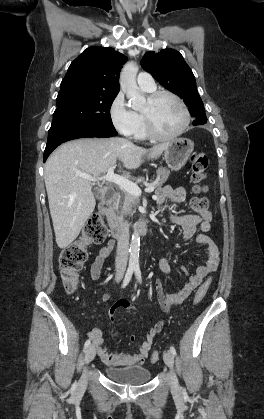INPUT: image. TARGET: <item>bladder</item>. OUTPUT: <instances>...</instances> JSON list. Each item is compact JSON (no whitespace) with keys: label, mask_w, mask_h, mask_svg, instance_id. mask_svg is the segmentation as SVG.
Instances as JSON below:
<instances>
[{"label":"bladder","mask_w":264,"mask_h":419,"mask_svg":"<svg viewBox=\"0 0 264 419\" xmlns=\"http://www.w3.org/2000/svg\"><path fill=\"white\" fill-rule=\"evenodd\" d=\"M104 372L110 380L123 385H141L151 379L150 370L142 366L106 367Z\"/></svg>","instance_id":"1"}]
</instances>
